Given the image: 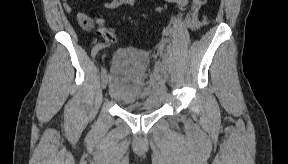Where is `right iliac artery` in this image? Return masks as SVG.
Instances as JSON below:
<instances>
[{"label": "right iliac artery", "mask_w": 288, "mask_h": 164, "mask_svg": "<svg viewBox=\"0 0 288 164\" xmlns=\"http://www.w3.org/2000/svg\"><path fill=\"white\" fill-rule=\"evenodd\" d=\"M105 47H106V45L103 44V43H99V44L95 45V46L92 48V52H91L92 57L95 58V56H96V54L98 53V51H99L100 49L105 48Z\"/></svg>", "instance_id": "right-iliac-artery-1"}]
</instances>
